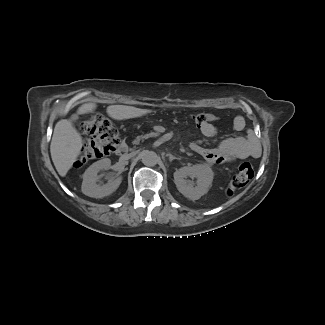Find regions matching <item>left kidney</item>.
<instances>
[{
	"mask_svg": "<svg viewBox=\"0 0 325 325\" xmlns=\"http://www.w3.org/2000/svg\"><path fill=\"white\" fill-rule=\"evenodd\" d=\"M187 177L196 178L193 186ZM214 172L208 164H195L184 166L174 173V183L180 193L190 200H198L206 194L212 185Z\"/></svg>",
	"mask_w": 325,
	"mask_h": 325,
	"instance_id": "5707ae66",
	"label": "left kidney"
}]
</instances>
